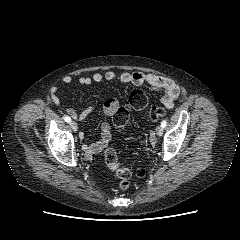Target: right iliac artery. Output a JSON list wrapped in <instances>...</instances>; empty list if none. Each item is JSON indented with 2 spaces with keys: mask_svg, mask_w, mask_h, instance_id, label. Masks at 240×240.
<instances>
[{
  "mask_svg": "<svg viewBox=\"0 0 240 240\" xmlns=\"http://www.w3.org/2000/svg\"><path fill=\"white\" fill-rule=\"evenodd\" d=\"M63 118L66 122H68V123L71 122V118L69 116L65 115Z\"/></svg>",
  "mask_w": 240,
  "mask_h": 240,
  "instance_id": "1",
  "label": "right iliac artery"
}]
</instances>
